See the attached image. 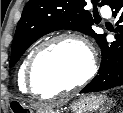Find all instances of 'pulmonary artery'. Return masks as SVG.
I'll use <instances>...</instances> for the list:
<instances>
[{"instance_id":"e3ab8cb5","label":"pulmonary artery","mask_w":123,"mask_h":113,"mask_svg":"<svg viewBox=\"0 0 123 113\" xmlns=\"http://www.w3.org/2000/svg\"><path fill=\"white\" fill-rule=\"evenodd\" d=\"M102 15L104 17H110V15H111L110 9L108 7H103L102 8Z\"/></svg>"}]
</instances>
